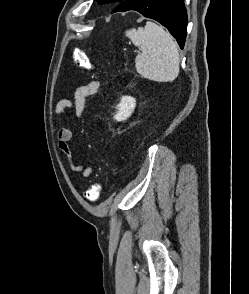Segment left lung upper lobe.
<instances>
[{
    "instance_id": "left-lung-upper-lobe-1",
    "label": "left lung upper lobe",
    "mask_w": 249,
    "mask_h": 294,
    "mask_svg": "<svg viewBox=\"0 0 249 294\" xmlns=\"http://www.w3.org/2000/svg\"><path fill=\"white\" fill-rule=\"evenodd\" d=\"M98 3L100 4H105V3H114V2H123L124 0H97Z\"/></svg>"
}]
</instances>
